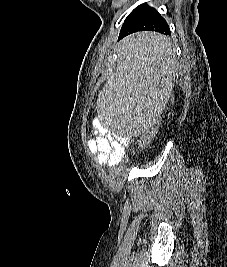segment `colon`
<instances>
[{
    "instance_id": "5ec220e1",
    "label": "colon",
    "mask_w": 227,
    "mask_h": 267,
    "mask_svg": "<svg viewBox=\"0 0 227 267\" xmlns=\"http://www.w3.org/2000/svg\"><path fill=\"white\" fill-rule=\"evenodd\" d=\"M163 124L162 113L160 115H154L153 123H151L150 128L144 130L142 139H139V142H136L134 145L133 151L125 156V171H132V164H137L138 158L142 156V152H146L150 140H155L157 131H161Z\"/></svg>"
}]
</instances>
